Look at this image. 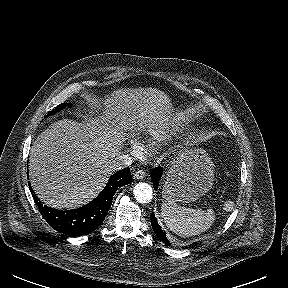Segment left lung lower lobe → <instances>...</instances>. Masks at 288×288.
Returning a JSON list of instances; mask_svg holds the SVG:
<instances>
[{
  "mask_svg": "<svg viewBox=\"0 0 288 288\" xmlns=\"http://www.w3.org/2000/svg\"><path fill=\"white\" fill-rule=\"evenodd\" d=\"M162 173H163V170L161 167H157V168L152 170L151 179L153 181V185H154L155 190L158 189V185H159V181L161 179ZM151 225H152V228H153L155 234L157 235V237L162 242H164L166 245L170 246V243L166 238V233L158 225L157 219H156L154 213H151Z\"/></svg>",
  "mask_w": 288,
  "mask_h": 288,
  "instance_id": "0a47b994",
  "label": "left lung lower lobe"
}]
</instances>
